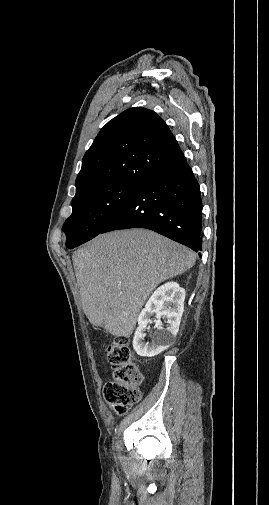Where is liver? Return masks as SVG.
I'll use <instances>...</instances> for the list:
<instances>
[{"label":"liver","mask_w":269,"mask_h":505,"mask_svg":"<svg viewBox=\"0 0 269 505\" xmlns=\"http://www.w3.org/2000/svg\"><path fill=\"white\" fill-rule=\"evenodd\" d=\"M82 308L90 323L130 337L152 291L189 270L196 254L145 229L97 236L72 255Z\"/></svg>","instance_id":"liver-1"}]
</instances>
